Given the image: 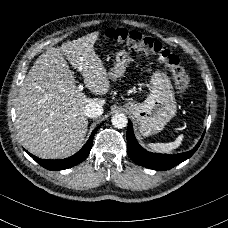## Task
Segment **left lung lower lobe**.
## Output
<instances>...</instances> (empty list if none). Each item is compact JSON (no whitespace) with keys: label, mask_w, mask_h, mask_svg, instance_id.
<instances>
[{"label":"left lung lower lobe","mask_w":228,"mask_h":228,"mask_svg":"<svg viewBox=\"0 0 228 228\" xmlns=\"http://www.w3.org/2000/svg\"><path fill=\"white\" fill-rule=\"evenodd\" d=\"M203 136L204 133L197 145L188 152L173 155L151 153L138 144L133 133L132 123L129 120L127 129V151L131 160L136 164L157 171H165L190 158L200 146Z\"/></svg>","instance_id":"1"}]
</instances>
